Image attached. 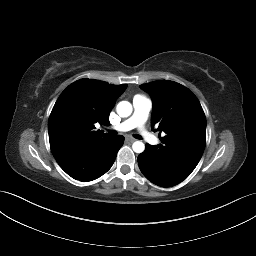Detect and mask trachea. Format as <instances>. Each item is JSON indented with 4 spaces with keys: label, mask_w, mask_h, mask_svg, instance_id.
I'll return each mask as SVG.
<instances>
[{
    "label": "trachea",
    "mask_w": 256,
    "mask_h": 256,
    "mask_svg": "<svg viewBox=\"0 0 256 256\" xmlns=\"http://www.w3.org/2000/svg\"><path fill=\"white\" fill-rule=\"evenodd\" d=\"M109 134H110L111 136H114V135H116L117 133H116V131H114V130H110V131H109ZM134 137H135L136 139H142V137H141L140 135H138V134L134 135Z\"/></svg>",
    "instance_id": "trachea-1"
}]
</instances>
